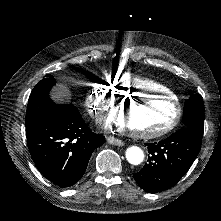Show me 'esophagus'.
<instances>
[{
  "label": "esophagus",
  "mask_w": 221,
  "mask_h": 221,
  "mask_svg": "<svg viewBox=\"0 0 221 221\" xmlns=\"http://www.w3.org/2000/svg\"><path fill=\"white\" fill-rule=\"evenodd\" d=\"M107 141H108V143L111 144V145L124 146V142H123V141H121V140H119V139H117V138H115V137H113V136H109V137L107 138Z\"/></svg>",
  "instance_id": "esophagus-1"
}]
</instances>
